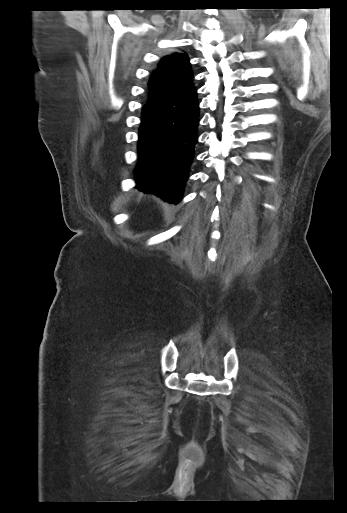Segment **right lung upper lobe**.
<instances>
[{
	"instance_id": "1",
	"label": "right lung upper lobe",
	"mask_w": 347,
	"mask_h": 513,
	"mask_svg": "<svg viewBox=\"0 0 347 513\" xmlns=\"http://www.w3.org/2000/svg\"><path fill=\"white\" fill-rule=\"evenodd\" d=\"M193 80L189 57L174 53L165 56L149 81L150 97H166L186 88Z\"/></svg>"
}]
</instances>
